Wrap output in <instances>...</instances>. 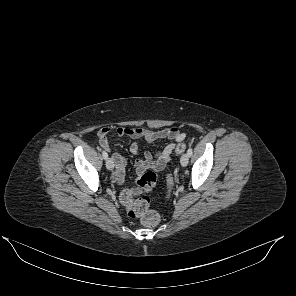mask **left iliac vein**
<instances>
[{
	"mask_svg": "<svg viewBox=\"0 0 296 296\" xmlns=\"http://www.w3.org/2000/svg\"><path fill=\"white\" fill-rule=\"evenodd\" d=\"M188 162H189V155L187 153H184L181 156L180 163L183 167H186L188 165Z\"/></svg>",
	"mask_w": 296,
	"mask_h": 296,
	"instance_id": "left-iliac-vein-1",
	"label": "left iliac vein"
}]
</instances>
